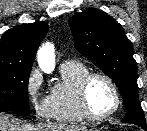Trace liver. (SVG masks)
Instances as JSON below:
<instances>
[{
	"mask_svg": "<svg viewBox=\"0 0 147 131\" xmlns=\"http://www.w3.org/2000/svg\"><path fill=\"white\" fill-rule=\"evenodd\" d=\"M86 127L66 124H22L14 125L10 123L9 115L0 113V131H85Z\"/></svg>",
	"mask_w": 147,
	"mask_h": 131,
	"instance_id": "liver-1",
	"label": "liver"
}]
</instances>
